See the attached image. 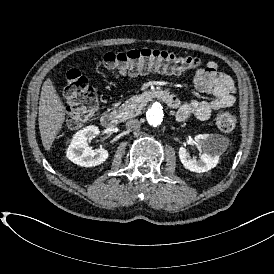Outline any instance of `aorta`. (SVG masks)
I'll return each mask as SVG.
<instances>
[{
    "label": "aorta",
    "mask_w": 274,
    "mask_h": 274,
    "mask_svg": "<svg viewBox=\"0 0 274 274\" xmlns=\"http://www.w3.org/2000/svg\"><path fill=\"white\" fill-rule=\"evenodd\" d=\"M147 121L152 127H161L166 120L163 106L155 102L146 113Z\"/></svg>",
    "instance_id": "762f6f07"
}]
</instances>
